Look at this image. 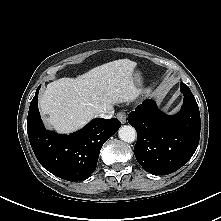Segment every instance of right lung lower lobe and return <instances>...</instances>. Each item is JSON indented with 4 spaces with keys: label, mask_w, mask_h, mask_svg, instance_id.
<instances>
[{
    "label": "right lung lower lobe",
    "mask_w": 221,
    "mask_h": 221,
    "mask_svg": "<svg viewBox=\"0 0 221 221\" xmlns=\"http://www.w3.org/2000/svg\"><path fill=\"white\" fill-rule=\"evenodd\" d=\"M39 88L30 103L27 118V133L37 160L50 173L64 180L89 178L96 169L102 145L120 128V121L97 118L70 135L48 131L38 110Z\"/></svg>",
    "instance_id": "98d812e1"
}]
</instances>
